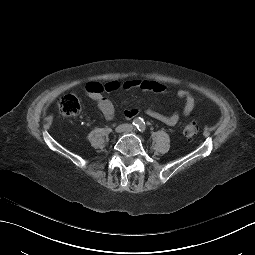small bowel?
<instances>
[{
    "instance_id": "1",
    "label": "small bowel",
    "mask_w": 255,
    "mask_h": 255,
    "mask_svg": "<svg viewBox=\"0 0 255 255\" xmlns=\"http://www.w3.org/2000/svg\"><path fill=\"white\" fill-rule=\"evenodd\" d=\"M120 88L123 89H132L138 88L144 92H154V93H164L166 92V88L156 82L151 80H130L123 83L119 81H112L107 84H100L98 82H89L85 87L86 95L93 99L96 102L98 109L101 111L106 120H113L115 116V108L113 103L104 96L105 92H112L118 90ZM176 96L184 101V110L182 115L178 112H174L173 114L166 116L154 111L151 108H147L145 110L146 114L153 119H156L164 124L169 126L176 125L182 116H188L192 113L196 100L192 96V94L183 88H180L176 91ZM141 110L139 108L127 109L124 111V117L126 119H131L135 117Z\"/></svg>"
}]
</instances>
